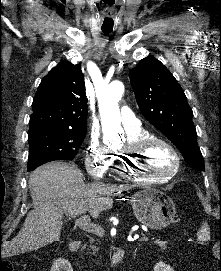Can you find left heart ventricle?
<instances>
[{"mask_svg":"<svg viewBox=\"0 0 221 271\" xmlns=\"http://www.w3.org/2000/svg\"><path fill=\"white\" fill-rule=\"evenodd\" d=\"M158 141V140H149ZM149 152L142 156H132L133 164H145V166H163L162 169H171L170 166H164L165 163H171L170 158L165 157L167 147H157L156 144H149Z\"/></svg>","mask_w":221,"mask_h":271,"instance_id":"b2bd125f","label":"left heart ventricle"}]
</instances>
